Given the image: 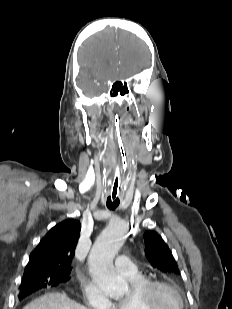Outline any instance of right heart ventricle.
I'll use <instances>...</instances> for the list:
<instances>
[{"mask_svg":"<svg viewBox=\"0 0 232 309\" xmlns=\"http://www.w3.org/2000/svg\"><path fill=\"white\" fill-rule=\"evenodd\" d=\"M129 281L132 291L125 298L112 302V309H144L137 299V293L140 288L149 280L146 276L139 273L134 277H126Z\"/></svg>","mask_w":232,"mask_h":309,"instance_id":"e07e8e85","label":"right heart ventricle"}]
</instances>
